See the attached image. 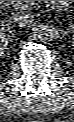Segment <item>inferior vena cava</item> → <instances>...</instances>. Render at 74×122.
<instances>
[{"label":"inferior vena cava","mask_w":74,"mask_h":122,"mask_svg":"<svg viewBox=\"0 0 74 122\" xmlns=\"http://www.w3.org/2000/svg\"><path fill=\"white\" fill-rule=\"evenodd\" d=\"M33 20L34 16L28 11H20L15 17V21L20 26L29 27L32 24Z\"/></svg>","instance_id":"inferior-vena-cava-1"}]
</instances>
